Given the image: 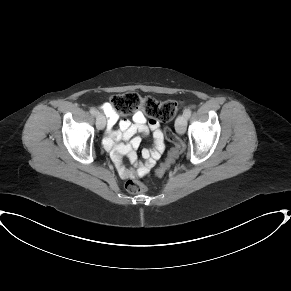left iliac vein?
Here are the masks:
<instances>
[{"label": "left iliac vein", "instance_id": "1", "mask_svg": "<svg viewBox=\"0 0 291 291\" xmlns=\"http://www.w3.org/2000/svg\"><path fill=\"white\" fill-rule=\"evenodd\" d=\"M187 117L182 114L176 118L175 129L179 135H183L186 131Z\"/></svg>", "mask_w": 291, "mask_h": 291}]
</instances>
